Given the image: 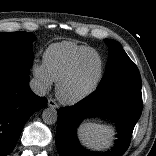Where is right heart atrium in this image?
<instances>
[{
  "label": "right heart atrium",
  "instance_id": "obj_1",
  "mask_svg": "<svg viewBox=\"0 0 156 156\" xmlns=\"http://www.w3.org/2000/svg\"><path fill=\"white\" fill-rule=\"evenodd\" d=\"M32 73L43 90H49L51 88L53 81L49 77L44 64L34 63Z\"/></svg>",
  "mask_w": 156,
  "mask_h": 156
}]
</instances>
